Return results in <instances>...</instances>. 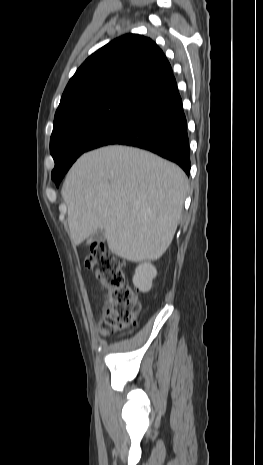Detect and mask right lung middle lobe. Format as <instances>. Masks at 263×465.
Here are the masks:
<instances>
[{
    "instance_id": "dd1d6c3e",
    "label": "right lung middle lobe",
    "mask_w": 263,
    "mask_h": 465,
    "mask_svg": "<svg viewBox=\"0 0 263 465\" xmlns=\"http://www.w3.org/2000/svg\"><path fill=\"white\" fill-rule=\"evenodd\" d=\"M134 97L96 98L55 116L50 153L55 161L52 180L63 178L74 161L132 105Z\"/></svg>"
}]
</instances>
